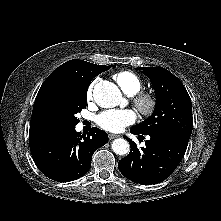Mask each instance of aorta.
<instances>
[{
  "label": "aorta",
  "instance_id": "762f6f07",
  "mask_svg": "<svg viewBox=\"0 0 221 221\" xmlns=\"http://www.w3.org/2000/svg\"><path fill=\"white\" fill-rule=\"evenodd\" d=\"M93 98L98 106L112 108L117 106L122 100V94L118 87L111 82H103L95 85ZM112 150L117 155H126L130 151V145L123 138L115 139L111 144Z\"/></svg>",
  "mask_w": 221,
  "mask_h": 221
}]
</instances>
